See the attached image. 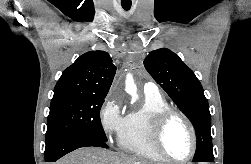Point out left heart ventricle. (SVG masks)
Returning <instances> with one entry per match:
<instances>
[{
	"mask_svg": "<svg viewBox=\"0 0 251 164\" xmlns=\"http://www.w3.org/2000/svg\"><path fill=\"white\" fill-rule=\"evenodd\" d=\"M163 144L167 153L174 158H184L190 153L191 134L182 119H171L164 133Z\"/></svg>",
	"mask_w": 251,
	"mask_h": 164,
	"instance_id": "1",
	"label": "left heart ventricle"
}]
</instances>
